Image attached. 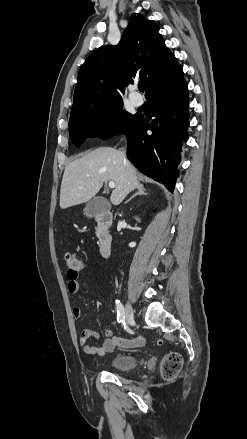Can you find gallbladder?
Wrapping results in <instances>:
<instances>
[{
    "instance_id": "gallbladder-1",
    "label": "gallbladder",
    "mask_w": 247,
    "mask_h": 439,
    "mask_svg": "<svg viewBox=\"0 0 247 439\" xmlns=\"http://www.w3.org/2000/svg\"><path fill=\"white\" fill-rule=\"evenodd\" d=\"M109 206L102 197H94L84 208V215L87 217H95L96 215L108 211Z\"/></svg>"
}]
</instances>
